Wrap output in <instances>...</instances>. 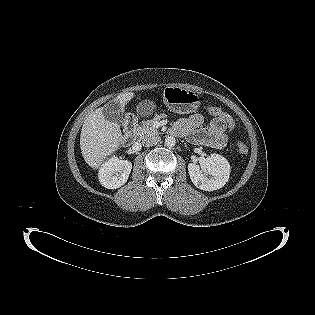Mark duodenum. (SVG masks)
<instances>
[{"instance_id":"duodenum-1","label":"duodenum","mask_w":315,"mask_h":315,"mask_svg":"<svg viewBox=\"0 0 315 315\" xmlns=\"http://www.w3.org/2000/svg\"><path fill=\"white\" fill-rule=\"evenodd\" d=\"M137 125V120L134 116L129 115L124 120V131L121 142L123 145H128L134 135Z\"/></svg>"}]
</instances>
